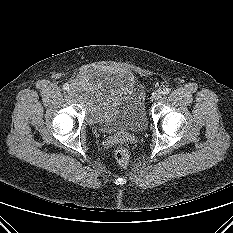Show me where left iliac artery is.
<instances>
[{"mask_svg": "<svg viewBox=\"0 0 233 233\" xmlns=\"http://www.w3.org/2000/svg\"><path fill=\"white\" fill-rule=\"evenodd\" d=\"M169 92H170V89L169 88H164L163 89V94H169Z\"/></svg>", "mask_w": 233, "mask_h": 233, "instance_id": "left-iliac-artery-1", "label": "left iliac artery"}]
</instances>
